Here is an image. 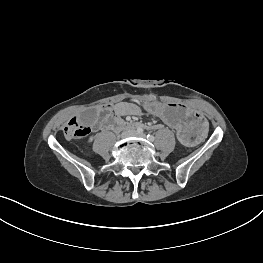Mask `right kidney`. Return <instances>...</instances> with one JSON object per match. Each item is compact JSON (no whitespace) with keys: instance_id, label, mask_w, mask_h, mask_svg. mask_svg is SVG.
I'll return each mask as SVG.
<instances>
[{"instance_id":"ca27d5eb","label":"right kidney","mask_w":263,"mask_h":263,"mask_svg":"<svg viewBox=\"0 0 263 263\" xmlns=\"http://www.w3.org/2000/svg\"><path fill=\"white\" fill-rule=\"evenodd\" d=\"M93 140V137H91L90 139H89V142H91Z\"/></svg>"}]
</instances>
